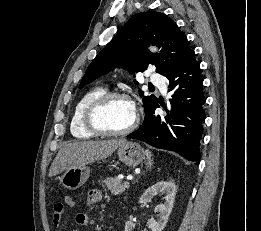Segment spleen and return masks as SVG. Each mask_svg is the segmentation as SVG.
<instances>
[{
	"mask_svg": "<svg viewBox=\"0 0 261 231\" xmlns=\"http://www.w3.org/2000/svg\"><path fill=\"white\" fill-rule=\"evenodd\" d=\"M145 153H146L147 160H148L147 166L149 168H151V166H152V158H151L152 154H151V152L149 150H146Z\"/></svg>",
	"mask_w": 261,
	"mask_h": 231,
	"instance_id": "obj_1",
	"label": "spleen"
}]
</instances>
